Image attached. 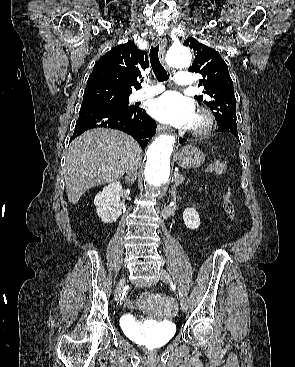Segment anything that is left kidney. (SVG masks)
Wrapping results in <instances>:
<instances>
[{"instance_id":"obj_1","label":"left kidney","mask_w":295,"mask_h":367,"mask_svg":"<svg viewBox=\"0 0 295 367\" xmlns=\"http://www.w3.org/2000/svg\"><path fill=\"white\" fill-rule=\"evenodd\" d=\"M183 221L187 228L191 230L198 229L200 226V217L196 209L186 208L183 212Z\"/></svg>"}]
</instances>
